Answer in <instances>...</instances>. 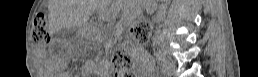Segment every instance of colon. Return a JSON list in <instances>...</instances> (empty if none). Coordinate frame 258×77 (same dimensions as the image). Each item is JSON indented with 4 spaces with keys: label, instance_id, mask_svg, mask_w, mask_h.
I'll return each mask as SVG.
<instances>
[{
    "label": "colon",
    "instance_id": "1",
    "mask_svg": "<svg viewBox=\"0 0 258 77\" xmlns=\"http://www.w3.org/2000/svg\"><path fill=\"white\" fill-rule=\"evenodd\" d=\"M32 40L35 44L45 45L50 42L48 22L44 14H38L34 18L32 27ZM149 39V26L147 23H138L130 30V41L119 48L113 55L112 68L116 71L128 70L133 66L130 48Z\"/></svg>",
    "mask_w": 258,
    "mask_h": 77
}]
</instances>
